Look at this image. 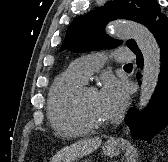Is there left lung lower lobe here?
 <instances>
[{"mask_svg": "<svg viewBox=\"0 0 168 162\" xmlns=\"http://www.w3.org/2000/svg\"><path fill=\"white\" fill-rule=\"evenodd\" d=\"M155 37L160 48V74L158 77L157 88L147 106L139 113L131 108L125 117V123L131 131L133 139L153 138L164 128L168 121V18L166 15L160 17L154 24L148 28ZM134 54L137 57V66L143 67L144 60L139 48L135 49ZM140 73L137 79H140ZM140 83V81H139ZM145 116V118H143Z\"/></svg>", "mask_w": 168, "mask_h": 162, "instance_id": "obj_1", "label": "left lung lower lobe"}]
</instances>
